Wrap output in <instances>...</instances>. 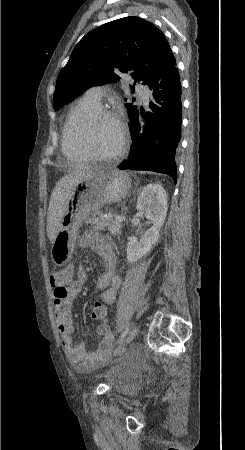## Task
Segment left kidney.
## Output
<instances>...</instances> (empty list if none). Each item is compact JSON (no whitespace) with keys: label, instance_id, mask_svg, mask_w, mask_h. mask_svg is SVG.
I'll return each instance as SVG.
<instances>
[{"label":"left kidney","instance_id":"5707ae66","mask_svg":"<svg viewBox=\"0 0 245 450\" xmlns=\"http://www.w3.org/2000/svg\"><path fill=\"white\" fill-rule=\"evenodd\" d=\"M136 209L143 214L153 226L148 229L138 241L132 239L126 247L129 263L136 262L142 256L148 254L158 242L160 228L163 226L167 213V194L164 188L156 184H148L140 193Z\"/></svg>","mask_w":245,"mask_h":450}]
</instances>
